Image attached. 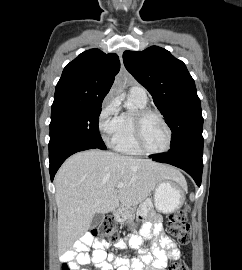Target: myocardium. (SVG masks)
<instances>
[{"mask_svg": "<svg viewBox=\"0 0 242 270\" xmlns=\"http://www.w3.org/2000/svg\"><path fill=\"white\" fill-rule=\"evenodd\" d=\"M150 117L158 118L162 122V124L164 125V127L167 131L166 147L162 150H159V151H153V150L148 149L144 143V139H143L144 125H145V122ZM133 127H134L135 143H136L138 149L142 153L148 154V155H160V154L167 153L171 149L172 142H173L172 129H171L170 125L168 124V122L166 121V119L164 118V116L161 113H159L158 111L152 110V109H143V110L137 111L134 115Z\"/></svg>", "mask_w": 242, "mask_h": 270, "instance_id": "myocardium-1", "label": "myocardium"}]
</instances>
